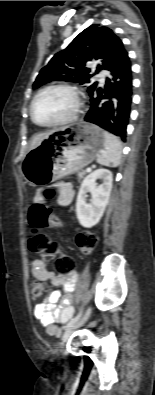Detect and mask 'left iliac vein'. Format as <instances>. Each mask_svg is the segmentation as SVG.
Here are the masks:
<instances>
[{
	"label": "left iliac vein",
	"instance_id": "obj_1",
	"mask_svg": "<svg viewBox=\"0 0 155 395\" xmlns=\"http://www.w3.org/2000/svg\"><path fill=\"white\" fill-rule=\"evenodd\" d=\"M90 313H91V308L89 307L80 321L76 322L75 324L68 327L64 331V333L62 335V342L63 343L66 342L68 340V338L73 334V332L88 319Z\"/></svg>",
	"mask_w": 155,
	"mask_h": 395
}]
</instances>
